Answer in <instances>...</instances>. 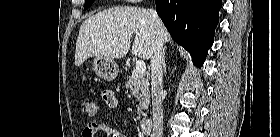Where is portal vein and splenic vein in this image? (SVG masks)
Listing matches in <instances>:
<instances>
[{
	"label": "portal vein and splenic vein",
	"mask_w": 280,
	"mask_h": 137,
	"mask_svg": "<svg viewBox=\"0 0 280 137\" xmlns=\"http://www.w3.org/2000/svg\"><path fill=\"white\" fill-rule=\"evenodd\" d=\"M145 71H146L145 62L143 60L136 61L135 72L143 75L145 73Z\"/></svg>",
	"instance_id": "18ae733b"
}]
</instances>
